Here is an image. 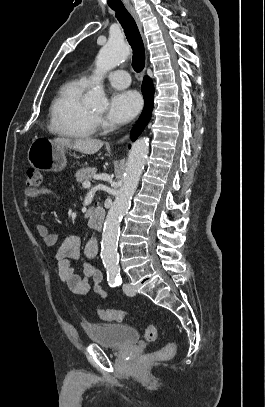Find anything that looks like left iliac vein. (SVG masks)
Here are the masks:
<instances>
[{"label": "left iliac vein", "instance_id": "1", "mask_svg": "<svg viewBox=\"0 0 265 407\" xmlns=\"http://www.w3.org/2000/svg\"><path fill=\"white\" fill-rule=\"evenodd\" d=\"M123 291H124V293H125L126 295H128V296H134V295H135L134 289H133L132 286H131L130 284H128V283H125V284L123 285Z\"/></svg>", "mask_w": 265, "mask_h": 407}]
</instances>
